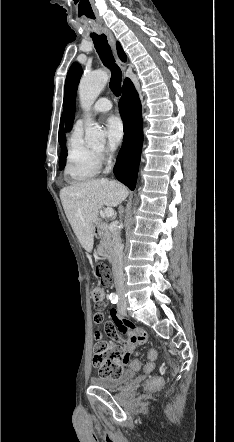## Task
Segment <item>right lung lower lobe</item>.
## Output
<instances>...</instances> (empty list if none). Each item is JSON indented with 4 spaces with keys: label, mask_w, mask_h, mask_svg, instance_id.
<instances>
[{
    "label": "right lung lower lobe",
    "mask_w": 234,
    "mask_h": 442,
    "mask_svg": "<svg viewBox=\"0 0 234 442\" xmlns=\"http://www.w3.org/2000/svg\"><path fill=\"white\" fill-rule=\"evenodd\" d=\"M120 114L124 122V137L114 167L115 177L134 190L143 143L141 103L133 83L126 79L119 101Z\"/></svg>",
    "instance_id": "1"
}]
</instances>
